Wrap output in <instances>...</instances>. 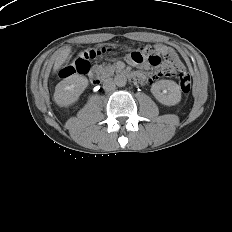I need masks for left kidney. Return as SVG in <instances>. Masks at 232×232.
I'll list each match as a JSON object with an SVG mask.
<instances>
[{"instance_id": "left-kidney-1", "label": "left kidney", "mask_w": 232, "mask_h": 232, "mask_svg": "<svg viewBox=\"0 0 232 232\" xmlns=\"http://www.w3.org/2000/svg\"><path fill=\"white\" fill-rule=\"evenodd\" d=\"M151 93L163 105L174 106L181 100L179 85L172 80H160L152 84Z\"/></svg>"}]
</instances>
